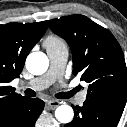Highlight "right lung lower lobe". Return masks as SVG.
<instances>
[{
    "label": "right lung lower lobe",
    "mask_w": 127,
    "mask_h": 127,
    "mask_svg": "<svg viewBox=\"0 0 127 127\" xmlns=\"http://www.w3.org/2000/svg\"><path fill=\"white\" fill-rule=\"evenodd\" d=\"M43 109L42 100L27 98L16 111L1 122L0 127H34Z\"/></svg>",
    "instance_id": "obj_1"
}]
</instances>
